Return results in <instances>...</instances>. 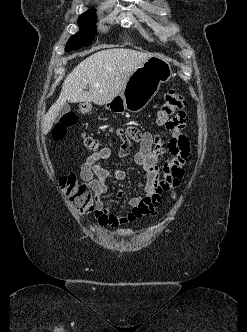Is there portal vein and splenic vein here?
Returning a JSON list of instances; mask_svg holds the SVG:
<instances>
[{"instance_id":"obj_1","label":"portal vein and splenic vein","mask_w":247,"mask_h":332,"mask_svg":"<svg viewBox=\"0 0 247 332\" xmlns=\"http://www.w3.org/2000/svg\"><path fill=\"white\" fill-rule=\"evenodd\" d=\"M96 87H99V84H95Z\"/></svg>"}]
</instances>
